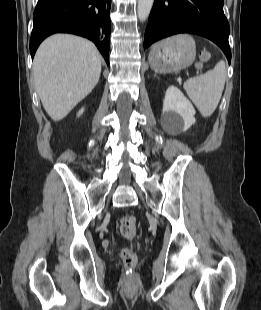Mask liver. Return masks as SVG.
<instances>
[{
    "mask_svg": "<svg viewBox=\"0 0 261 310\" xmlns=\"http://www.w3.org/2000/svg\"><path fill=\"white\" fill-rule=\"evenodd\" d=\"M101 57L87 39L68 34L48 37L38 48L33 75L36 91L48 115L59 121L96 86Z\"/></svg>",
    "mask_w": 261,
    "mask_h": 310,
    "instance_id": "1",
    "label": "liver"
}]
</instances>
